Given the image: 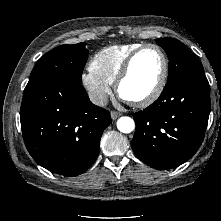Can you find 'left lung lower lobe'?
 I'll list each match as a JSON object with an SVG mask.
<instances>
[{
	"label": "left lung lower lobe",
	"instance_id": "obj_1",
	"mask_svg": "<svg viewBox=\"0 0 221 221\" xmlns=\"http://www.w3.org/2000/svg\"><path fill=\"white\" fill-rule=\"evenodd\" d=\"M209 113L210 87L204 71L185 75L164 87L152 105L133 114L135 155L159 170L178 167L202 144Z\"/></svg>",
	"mask_w": 221,
	"mask_h": 221
}]
</instances>
